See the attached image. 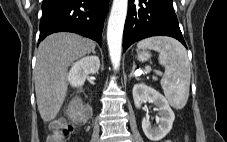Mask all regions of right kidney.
<instances>
[{
    "label": "right kidney",
    "mask_w": 227,
    "mask_h": 142,
    "mask_svg": "<svg viewBox=\"0 0 227 142\" xmlns=\"http://www.w3.org/2000/svg\"><path fill=\"white\" fill-rule=\"evenodd\" d=\"M100 68V60L97 56H87L73 64L68 81L73 87H81L89 74H96Z\"/></svg>",
    "instance_id": "ca27d5eb"
}]
</instances>
